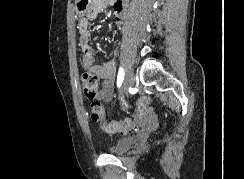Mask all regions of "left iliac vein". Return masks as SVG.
I'll return each mask as SVG.
<instances>
[{"label":"left iliac vein","instance_id":"4c4485c4","mask_svg":"<svg viewBox=\"0 0 244 179\" xmlns=\"http://www.w3.org/2000/svg\"><path fill=\"white\" fill-rule=\"evenodd\" d=\"M135 84V74L133 71L129 70L126 74L125 85L123 88L124 95H128V88L134 86Z\"/></svg>","mask_w":244,"mask_h":179}]
</instances>
